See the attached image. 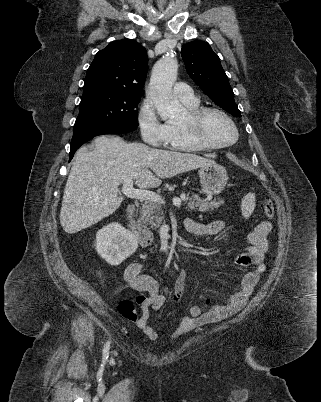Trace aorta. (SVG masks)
Returning <instances> with one entry per match:
<instances>
[{
	"label": "aorta",
	"instance_id": "1",
	"mask_svg": "<svg viewBox=\"0 0 321 402\" xmlns=\"http://www.w3.org/2000/svg\"><path fill=\"white\" fill-rule=\"evenodd\" d=\"M178 63L173 52L159 59L152 70L148 93L162 119L178 116L182 105L172 96V85L177 77Z\"/></svg>",
	"mask_w": 321,
	"mask_h": 402
}]
</instances>
